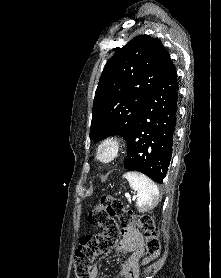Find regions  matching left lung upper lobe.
<instances>
[{
    "mask_svg": "<svg viewBox=\"0 0 221 278\" xmlns=\"http://www.w3.org/2000/svg\"><path fill=\"white\" fill-rule=\"evenodd\" d=\"M170 60L162 43L148 35L117 48L95 92L90 139L116 134L127 139Z\"/></svg>",
    "mask_w": 221,
    "mask_h": 278,
    "instance_id": "left-lung-upper-lobe-1",
    "label": "left lung upper lobe"
}]
</instances>
